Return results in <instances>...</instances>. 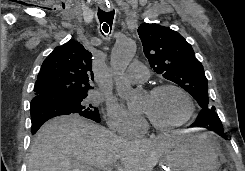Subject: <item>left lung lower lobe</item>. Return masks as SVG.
<instances>
[{
	"mask_svg": "<svg viewBox=\"0 0 245 171\" xmlns=\"http://www.w3.org/2000/svg\"><path fill=\"white\" fill-rule=\"evenodd\" d=\"M191 126L206 127L210 130L215 131L218 135L227 139L224 134L221 120L215 110L207 109L202 110L198 115L196 121Z\"/></svg>",
	"mask_w": 245,
	"mask_h": 171,
	"instance_id": "1",
	"label": "left lung lower lobe"
}]
</instances>
